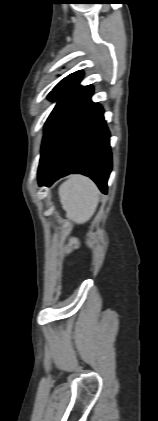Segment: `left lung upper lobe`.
Wrapping results in <instances>:
<instances>
[{
  "mask_svg": "<svg viewBox=\"0 0 158 421\" xmlns=\"http://www.w3.org/2000/svg\"><path fill=\"white\" fill-rule=\"evenodd\" d=\"M83 72L77 71L62 79L49 93L50 100H58L55 108L51 112L45 127L49 125L56 114L66 105V103L82 88L79 85Z\"/></svg>",
  "mask_w": 158,
  "mask_h": 421,
  "instance_id": "left-lung-upper-lobe-1",
  "label": "left lung upper lobe"
}]
</instances>
